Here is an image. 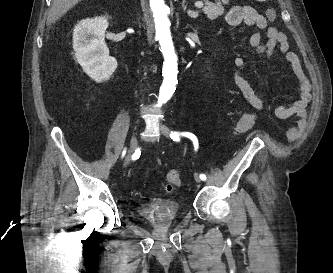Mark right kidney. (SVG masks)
Instances as JSON below:
<instances>
[{"label":"right kidney","mask_w":333,"mask_h":273,"mask_svg":"<svg viewBox=\"0 0 333 273\" xmlns=\"http://www.w3.org/2000/svg\"><path fill=\"white\" fill-rule=\"evenodd\" d=\"M108 25V18L99 16L82 20L73 31L75 58L83 71L97 83L109 80L117 68V61L109 56L105 43Z\"/></svg>","instance_id":"obj_1"}]
</instances>
